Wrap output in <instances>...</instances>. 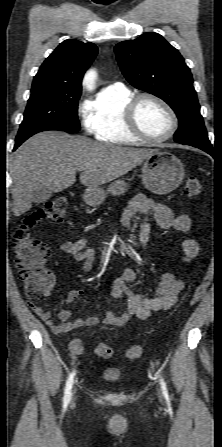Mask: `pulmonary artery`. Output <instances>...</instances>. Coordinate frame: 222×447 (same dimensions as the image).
<instances>
[{"label":"pulmonary artery","instance_id":"pulmonary-artery-1","mask_svg":"<svg viewBox=\"0 0 222 447\" xmlns=\"http://www.w3.org/2000/svg\"><path fill=\"white\" fill-rule=\"evenodd\" d=\"M123 87H124V85L122 83L115 82V83L110 84L107 88L121 89Z\"/></svg>","mask_w":222,"mask_h":447}]
</instances>
